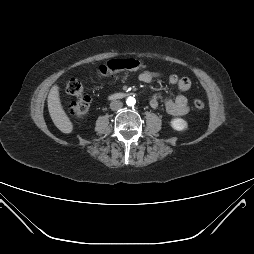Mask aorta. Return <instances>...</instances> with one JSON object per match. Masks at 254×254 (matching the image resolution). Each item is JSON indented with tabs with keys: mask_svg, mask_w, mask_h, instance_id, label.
Masks as SVG:
<instances>
[{
	"mask_svg": "<svg viewBox=\"0 0 254 254\" xmlns=\"http://www.w3.org/2000/svg\"><path fill=\"white\" fill-rule=\"evenodd\" d=\"M135 103H136V100H135L134 97L129 96V97L126 99V104H127L128 106H134Z\"/></svg>",
	"mask_w": 254,
	"mask_h": 254,
	"instance_id": "aorta-1",
	"label": "aorta"
}]
</instances>
